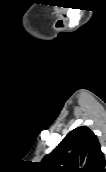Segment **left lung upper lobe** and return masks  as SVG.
Listing matches in <instances>:
<instances>
[{
  "label": "left lung upper lobe",
  "instance_id": "left-lung-upper-lobe-1",
  "mask_svg": "<svg viewBox=\"0 0 106 172\" xmlns=\"http://www.w3.org/2000/svg\"><path fill=\"white\" fill-rule=\"evenodd\" d=\"M39 165L43 172H106L98 139L86 126L73 129Z\"/></svg>",
  "mask_w": 106,
  "mask_h": 172
}]
</instances>
